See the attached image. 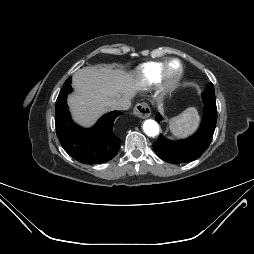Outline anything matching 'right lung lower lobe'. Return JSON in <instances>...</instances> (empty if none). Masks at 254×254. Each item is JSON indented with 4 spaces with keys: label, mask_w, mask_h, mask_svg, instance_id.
Here are the masks:
<instances>
[{
    "label": "right lung lower lobe",
    "mask_w": 254,
    "mask_h": 254,
    "mask_svg": "<svg viewBox=\"0 0 254 254\" xmlns=\"http://www.w3.org/2000/svg\"><path fill=\"white\" fill-rule=\"evenodd\" d=\"M71 89V77L64 83L55 108L56 133L64 150L77 161L85 164L104 163L119 150L120 139L113 131L116 118L122 113L109 112L103 115L91 129L75 124L67 108L66 98Z\"/></svg>",
    "instance_id": "1"
}]
</instances>
